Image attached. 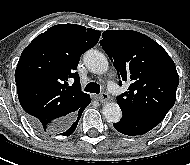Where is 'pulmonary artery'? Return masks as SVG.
I'll list each match as a JSON object with an SVG mask.
<instances>
[{"mask_svg":"<svg viewBox=\"0 0 190 165\" xmlns=\"http://www.w3.org/2000/svg\"><path fill=\"white\" fill-rule=\"evenodd\" d=\"M109 90L113 93H118V88L114 84H109Z\"/></svg>","mask_w":190,"mask_h":165,"instance_id":"obj_1","label":"pulmonary artery"}]
</instances>
